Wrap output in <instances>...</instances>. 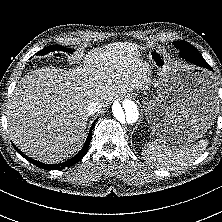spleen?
<instances>
[{
    "mask_svg": "<svg viewBox=\"0 0 222 222\" xmlns=\"http://www.w3.org/2000/svg\"><path fill=\"white\" fill-rule=\"evenodd\" d=\"M207 144V140L201 139L196 144L169 146L161 140H154L144 146L142 155L147 163L159 168L185 166L193 163L203 153Z\"/></svg>",
    "mask_w": 222,
    "mask_h": 222,
    "instance_id": "obj_1",
    "label": "spleen"
}]
</instances>
